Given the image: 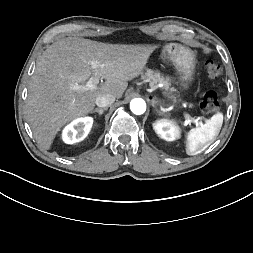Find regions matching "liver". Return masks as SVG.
I'll return each mask as SVG.
<instances>
[{
  "mask_svg": "<svg viewBox=\"0 0 253 253\" xmlns=\"http://www.w3.org/2000/svg\"><path fill=\"white\" fill-rule=\"evenodd\" d=\"M157 46L108 44L79 37L62 38L49 46L37 62L26 101V118L35 139L50 149L56 134L73 119L86 116L96 98H121L128 81L143 73ZM98 65L96 69L90 62ZM90 76L105 82L93 90L74 91Z\"/></svg>",
  "mask_w": 253,
  "mask_h": 253,
  "instance_id": "liver-1",
  "label": "liver"
}]
</instances>
